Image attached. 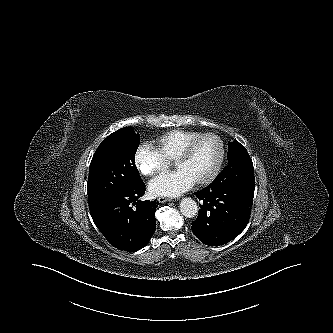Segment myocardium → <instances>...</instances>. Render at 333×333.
<instances>
[{
  "instance_id": "f54148a6",
  "label": "myocardium",
  "mask_w": 333,
  "mask_h": 333,
  "mask_svg": "<svg viewBox=\"0 0 333 333\" xmlns=\"http://www.w3.org/2000/svg\"><path fill=\"white\" fill-rule=\"evenodd\" d=\"M207 137H212V138L217 140V142L219 144V148H220V153H219L217 163H216L214 169L212 170V172L206 178L195 182L199 186H205V185H208V184L212 183L218 177V175L221 172V169H222V166H223V163H224V160H225V145H224V142L222 141V139L218 135H216L215 133H211V132L202 133L199 136L192 139L191 141H189L186 144V146L183 148L181 153L174 160L175 165H177L178 163L186 160L191 155V153L193 152L196 145L202 139L207 138Z\"/></svg>"
}]
</instances>
